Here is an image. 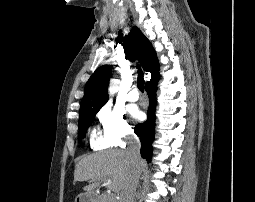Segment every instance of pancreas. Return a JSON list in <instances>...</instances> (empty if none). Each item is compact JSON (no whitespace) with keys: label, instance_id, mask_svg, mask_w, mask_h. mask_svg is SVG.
<instances>
[{"label":"pancreas","instance_id":"pancreas-1","mask_svg":"<svg viewBox=\"0 0 255 202\" xmlns=\"http://www.w3.org/2000/svg\"><path fill=\"white\" fill-rule=\"evenodd\" d=\"M98 202H116V200L111 195L103 194V195L99 196Z\"/></svg>","mask_w":255,"mask_h":202}]
</instances>
